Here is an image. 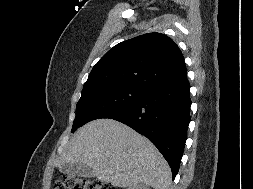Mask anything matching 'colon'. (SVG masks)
Returning a JSON list of instances; mask_svg holds the SVG:
<instances>
[{"instance_id":"obj_1","label":"colon","mask_w":253,"mask_h":189,"mask_svg":"<svg viewBox=\"0 0 253 189\" xmlns=\"http://www.w3.org/2000/svg\"><path fill=\"white\" fill-rule=\"evenodd\" d=\"M53 189H115L111 184L80 176H65L55 182Z\"/></svg>"}]
</instances>
